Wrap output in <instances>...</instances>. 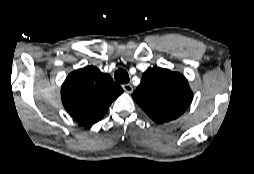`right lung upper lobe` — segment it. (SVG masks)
Returning a JSON list of instances; mask_svg holds the SVG:
<instances>
[{
  "label": "right lung upper lobe",
  "instance_id": "right-lung-upper-lobe-1",
  "mask_svg": "<svg viewBox=\"0 0 254 174\" xmlns=\"http://www.w3.org/2000/svg\"><path fill=\"white\" fill-rule=\"evenodd\" d=\"M123 93L110 75L94 66L68 75L61 87L62 103L77 121L92 124L101 120L111 103Z\"/></svg>",
  "mask_w": 254,
  "mask_h": 174
}]
</instances>
